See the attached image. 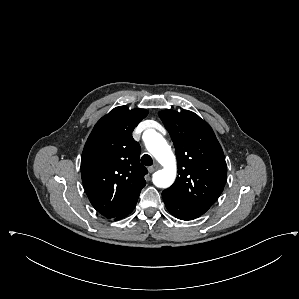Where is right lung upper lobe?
<instances>
[{
    "label": "right lung upper lobe",
    "mask_w": 299,
    "mask_h": 299,
    "mask_svg": "<svg viewBox=\"0 0 299 299\" xmlns=\"http://www.w3.org/2000/svg\"><path fill=\"white\" fill-rule=\"evenodd\" d=\"M145 109L119 106L99 120L81 157V176L93 207L108 219L116 218L137 202L146 185L147 169L139 162L140 146L134 128Z\"/></svg>",
    "instance_id": "1"
}]
</instances>
